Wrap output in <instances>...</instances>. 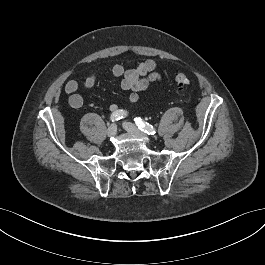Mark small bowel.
Returning a JSON list of instances; mask_svg holds the SVG:
<instances>
[{
  "instance_id": "1",
  "label": "small bowel",
  "mask_w": 265,
  "mask_h": 265,
  "mask_svg": "<svg viewBox=\"0 0 265 265\" xmlns=\"http://www.w3.org/2000/svg\"><path fill=\"white\" fill-rule=\"evenodd\" d=\"M102 73H109L115 77H121V88L125 91H131L128 97L130 104L135 103L139 98V92L144 91L151 83L160 81L161 76L157 71V65L153 60L141 62L133 69H126L122 65L115 64L109 66H94L86 71V76L82 83L77 80H69L65 84V92L69 95V104L75 109H79L84 104L83 96L78 93L82 86L85 89H91L95 86L97 78ZM116 104L110 105L112 112L117 111Z\"/></svg>"
}]
</instances>
